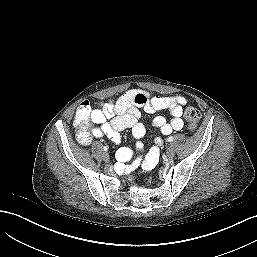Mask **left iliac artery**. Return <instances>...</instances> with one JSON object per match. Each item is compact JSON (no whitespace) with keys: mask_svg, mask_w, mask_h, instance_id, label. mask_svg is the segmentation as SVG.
<instances>
[{"mask_svg":"<svg viewBox=\"0 0 257 257\" xmlns=\"http://www.w3.org/2000/svg\"><path fill=\"white\" fill-rule=\"evenodd\" d=\"M173 139H174V138H173L172 136H170V137L167 138V141H168V142H172Z\"/></svg>","mask_w":257,"mask_h":257,"instance_id":"left-iliac-artery-1","label":"left iliac artery"}]
</instances>
